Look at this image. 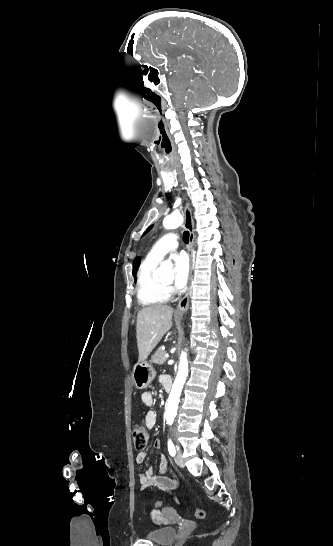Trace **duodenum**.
<instances>
[{
	"label": "duodenum",
	"mask_w": 333,
	"mask_h": 546,
	"mask_svg": "<svg viewBox=\"0 0 333 546\" xmlns=\"http://www.w3.org/2000/svg\"><path fill=\"white\" fill-rule=\"evenodd\" d=\"M163 386L167 391H170L172 388V379L170 377H167Z\"/></svg>",
	"instance_id": "obj_1"
}]
</instances>
